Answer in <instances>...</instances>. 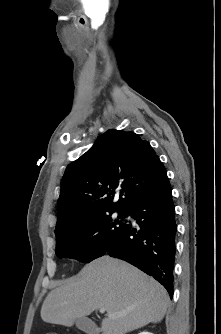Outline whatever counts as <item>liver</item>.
I'll list each match as a JSON object with an SVG mask.
<instances>
[{
    "instance_id": "6515ba94",
    "label": "liver",
    "mask_w": 221,
    "mask_h": 334,
    "mask_svg": "<svg viewBox=\"0 0 221 334\" xmlns=\"http://www.w3.org/2000/svg\"><path fill=\"white\" fill-rule=\"evenodd\" d=\"M168 302L160 283L133 265L106 255L50 291L42 304L41 318L72 326L76 319L104 308L107 317L101 323L102 334H126L160 322Z\"/></svg>"
}]
</instances>
